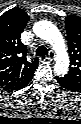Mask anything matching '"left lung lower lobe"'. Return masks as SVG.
<instances>
[{
  "label": "left lung lower lobe",
  "instance_id": "0a47b994",
  "mask_svg": "<svg viewBox=\"0 0 81 124\" xmlns=\"http://www.w3.org/2000/svg\"><path fill=\"white\" fill-rule=\"evenodd\" d=\"M57 82L59 83V85L69 91H79L81 90L80 87L76 86L74 83L70 82L69 80H67L64 77H58L57 76Z\"/></svg>",
  "mask_w": 81,
  "mask_h": 124
}]
</instances>
